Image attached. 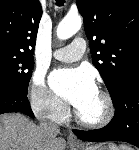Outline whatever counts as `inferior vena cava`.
<instances>
[{
    "mask_svg": "<svg viewBox=\"0 0 139 150\" xmlns=\"http://www.w3.org/2000/svg\"><path fill=\"white\" fill-rule=\"evenodd\" d=\"M40 129L42 130V132H45L47 134L59 133L58 125L52 122L41 121Z\"/></svg>",
    "mask_w": 139,
    "mask_h": 150,
    "instance_id": "obj_1",
    "label": "inferior vena cava"
}]
</instances>
